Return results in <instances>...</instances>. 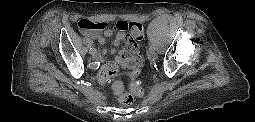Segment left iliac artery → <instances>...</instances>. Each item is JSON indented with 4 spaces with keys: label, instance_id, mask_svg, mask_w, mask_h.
Listing matches in <instances>:
<instances>
[{
    "label": "left iliac artery",
    "instance_id": "left-iliac-artery-1",
    "mask_svg": "<svg viewBox=\"0 0 255 122\" xmlns=\"http://www.w3.org/2000/svg\"><path fill=\"white\" fill-rule=\"evenodd\" d=\"M155 50H156V49H155L154 46H150V47H149V51H150V52H155Z\"/></svg>",
    "mask_w": 255,
    "mask_h": 122
}]
</instances>
